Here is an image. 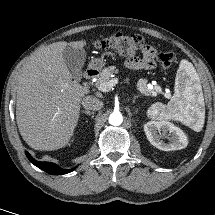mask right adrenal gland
<instances>
[{
	"instance_id": "obj_1",
	"label": "right adrenal gland",
	"mask_w": 215,
	"mask_h": 215,
	"mask_svg": "<svg viewBox=\"0 0 215 215\" xmlns=\"http://www.w3.org/2000/svg\"><path fill=\"white\" fill-rule=\"evenodd\" d=\"M81 113L87 114V115H94V112L82 110Z\"/></svg>"
}]
</instances>
